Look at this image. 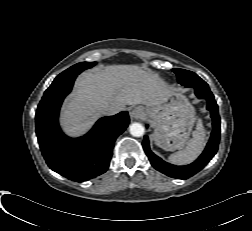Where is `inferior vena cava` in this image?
<instances>
[{"instance_id": "obj_1", "label": "inferior vena cava", "mask_w": 252, "mask_h": 231, "mask_svg": "<svg viewBox=\"0 0 252 231\" xmlns=\"http://www.w3.org/2000/svg\"><path fill=\"white\" fill-rule=\"evenodd\" d=\"M119 111H121V108L116 106H105L101 109V112L104 115H114Z\"/></svg>"}]
</instances>
